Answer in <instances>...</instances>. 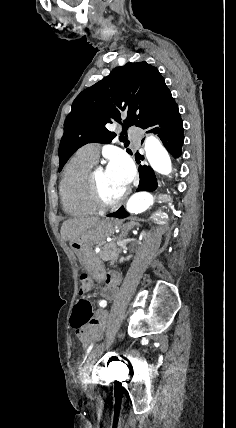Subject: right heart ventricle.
I'll use <instances>...</instances> for the list:
<instances>
[{"mask_svg": "<svg viewBox=\"0 0 236 428\" xmlns=\"http://www.w3.org/2000/svg\"><path fill=\"white\" fill-rule=\"evenodd\" d=\"M94 162L83 147L66 166L60 183V195L64 209L71 215H91L100 209L89 192V177Z\"/></svg>", "mask_w": 236, "mask_h": 428, "instance_id": "obj_1", "label": "right heart ventricle"}]
</instances>
